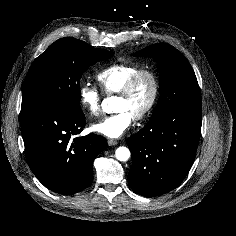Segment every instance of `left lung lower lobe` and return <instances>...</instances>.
I'll use <instances>...</instances> for the list:
<instances>
[{"mask_svg": "<svg viewBox=\"0 0 236 236\" xmlns=\"http://www.w3.org/2000/svg\"><path fill=\"white\" fill-rule=\"evenodd\" d=\"M201 124V107L176 108L130 136L132 190L155 197L178 187L194 162Z\"/></svg>", "mask_w": 236, "mask_h": 236, "instance_id": "1", "label": "left lung lower lobe"}]
</instances>
